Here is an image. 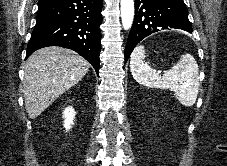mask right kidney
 <instances>
[{
  "label": "right kidney",
  "instance_id": "right-kidney-1",
  "mask_svg": "<svg viewBox=\"0 0 227 166\" xmlns=\"http://www.w3.org/2000/svg\"><path fill=\"white\" fill-rule=\"evenodd\" d=\"M64 117V127L66 131L70 130L72 125L74 124L73 120L75 118V111L72 107H67L63 112Z\"/></svg>",
  "mask_w": 227,
  "mask_h": 166
}]
</instances>
